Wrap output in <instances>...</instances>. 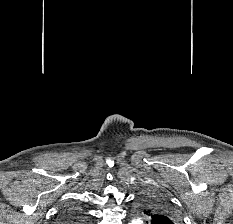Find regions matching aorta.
I'll return each instance as SVG.
<instances>
[{"label": "aorta", "mask_w": 233, "mask_h": 224, "mask_svg": "<svg viewBox=\"0 0 233 224\" xmlns=\"http://www.w3.org/2000/svg\"><path fill=\"white\" fill-rule=\"evenodd\" d=\"M143 222L140 219H134L129 224H142Z\"/></svg>", "instance_id": "aorta-1"}]
</instances>
